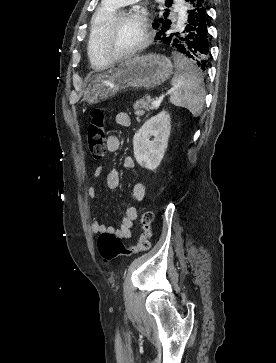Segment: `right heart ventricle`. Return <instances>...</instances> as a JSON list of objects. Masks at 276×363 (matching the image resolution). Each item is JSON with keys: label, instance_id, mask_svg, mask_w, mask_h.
Wrapping results in <instances>:
<instances>
[{"label": "right heart ventricle", "instance_id": "obj_1", "mask_svg": "<svg viewBox=\"0 0 276 363\" xmlns=\"http://www.w3.org/2000/svg\"><path fill=\"white\" fill-rule=\"evenodd\" d=\"M119 6L110 0H104L93 16L91 23V34L88 44V55L91 64L95 68H105L110 65L105 56L102 54L99 46V37L101 30L107 22L117 13Z\"/></svg>", "mask_w": 276, "mask_h": 363}]
</instances>
